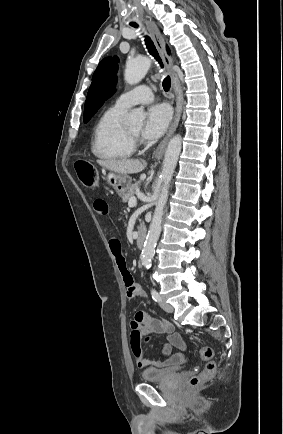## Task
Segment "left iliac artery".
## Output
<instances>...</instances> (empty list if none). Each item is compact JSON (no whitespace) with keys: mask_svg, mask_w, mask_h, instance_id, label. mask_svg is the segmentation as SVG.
<instances>
[{"mask_svg":"<svg viewBox=\"0 0 283 434\" xmlns=\"http://www.w3.org/2000/svg\"><path fill=\"white\" fill-rule=\"evenodd\" d=\"M151 295H152L153 300L158 301V302L161 301V296L155 289L151 290Z\"/></svg>","mask_w":283,"mask_h":434,"instance_id":"44dca946","label":"left iliac artery"}]
</instances>
